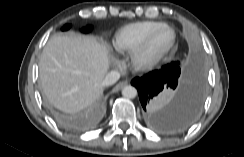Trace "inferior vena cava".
I'll list each match as a JSON object with an SVG mask.
<instances>
[{
  "label": "inferior vena cava",
  "instance_id": "602c4592",
  "mask_svg": "<svg viewBox=\"0 0 244 157\" xmlns=\"http://www.w3.org/2000/svg\"><path fill=\"white\" fill-rule=\"evenodd\" d=\"M120 78V74L117 71H111L109 72L104 80H103V85L104 86H110L113 85L114 83H116Z\"/></svg>",
  "mask_w": 244,
  "mask_h": 157
}]
</instances>
